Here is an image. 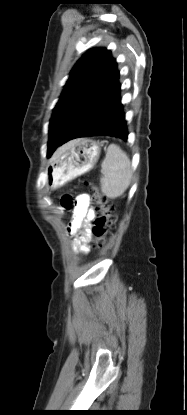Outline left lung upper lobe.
<instances>
[{
    "label": "left lung upper lobe",
    "mask_w": 187,
    "mask_h": 415,
    "mask_svg": "<svg viewBox=\"0 0 187 415\" xmlns=\"http://www.w3.org/2000/svg\"><path fill=\"white\" fill-rule=\"evenodd\" d=\"M111 57L109 50L93 48L73 67L50 120L48 156L59 146L65 132L77 118L85 119L90 115L94 102L87 101L88 95Z\"/></svg>",
    "instance_id": "1"
}]
</instances>
